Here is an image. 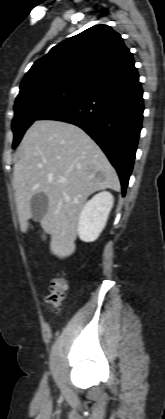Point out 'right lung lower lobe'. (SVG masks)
I'll use <instances>...</instances> for the list:
<instances>
[{
    "label": "right lung lower lobe",
    "instance_id": "1",
    "mask_svg": "<svg viewBox=\"0 0 165 419\" xmlns=\"http://www.w3.org/2000/svg\"><path fill=\"white\" fill-rule=\"evenodd\" d=\"M143 91L137 69L64 104L39 120H58L79 126L101 147L118 172L125 195L142 128Z\"/></svg>",
    "mask_w": 165,
    "mask_h": 419
}]
</instances>
